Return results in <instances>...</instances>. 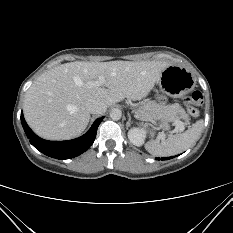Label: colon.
I'll use <instances>...</instances> for the list:
<instances>
[{
  "instance_id": "5ec220e1",
  "label": "colon",
  "mask_w": 233,
  "mask_h": 233,
  "mask_svg": "<svg viewBox=\"0 0 233 233\" xmlns=\"http://www.w3.org/2000/svg\"><path fill=\"white\" fill-rule=\"evenodd\" d=\"M184 102L193 117H197L199 112L198 108L203 103V95L200 91H193L187 95L184 99Z\"/></svg>"
}]
</instances>
